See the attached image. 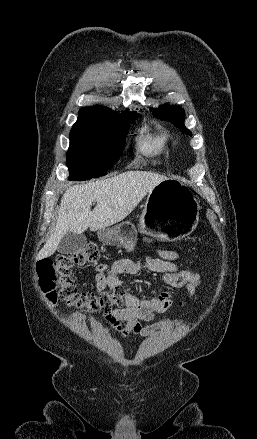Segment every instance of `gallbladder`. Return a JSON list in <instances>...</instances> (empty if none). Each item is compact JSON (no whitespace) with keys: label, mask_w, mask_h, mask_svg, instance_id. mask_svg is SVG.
Here are the masks:
<instances>
[{"label":"gallbladder","mask_w":257,"mask_h":439,"mask_svg":"<svg viewBox=\"0 0 257 439\" xmlns=\"http://www.w3.org/2000/svg\"><path fill=\"white\" fill-rule=\"evenodd\" d=\"M86 243L87 238L84 234L68 232L61 239L57 250L62 254H75L81 251Z\"/></svg>","instance_id":"gallbladder-1"}]
</instances>
